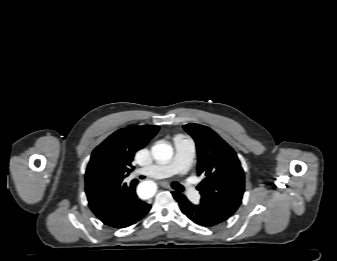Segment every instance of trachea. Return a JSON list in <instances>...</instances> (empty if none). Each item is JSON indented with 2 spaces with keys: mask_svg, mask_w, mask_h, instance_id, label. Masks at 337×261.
Wrapping results in <instances>:
<instances>
[{
  "mask_svg": "<svg viewBox=\"0 0 337 261\" xmlns=\"http://www.w3.org/2000/svg\"><path fill=\"white\" fill-rule=\"evenodd\" d=\"M172 187L179 192H182L184 190L183 186L180 185L179 183H174Z\"/></svg>",
  "mask_w": 337,
  "mask_h": 261,
  "instance_id": "1",
  "label": "trachea"
}]
</instances>
